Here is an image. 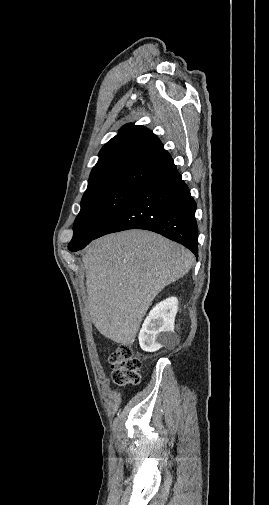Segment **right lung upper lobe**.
Listing matches in <instances>:
<instances>
[{"label":"right lung upper lobe","mask_w":269,"mask_h":505,"mask_svg":"<svg viewBox=\"0 0 269 505\" xmlns=\"http://www.w3.org/2000/svg\"><path fill=\"white\" fill-rule=\"evenodd\" d=\"M173 164L172 157L152 131L127 124L100 150L87 189L104 185L140 188Z\"/></svg>","instance_id":"cb5924a9"}]
</instances>
